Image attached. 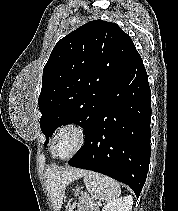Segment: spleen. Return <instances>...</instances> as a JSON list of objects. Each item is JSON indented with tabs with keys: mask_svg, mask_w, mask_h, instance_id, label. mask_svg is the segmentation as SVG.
<instances>
[{
	"mask_svg": "<svg viewBox=\"0 0 178 211\" xmlns=\"http://www.w3.org/2000/svg\"><path fill=\"white\" fill-rule=\"evenodd\" d=\"M84 183L94 199L112 201L120 196V185L114 179L103 174L85 171Z\"/></svg>",
	"mask_w": 178,
	"mask_h": 211,
	"instance_id": "1",
	"label": "spleen"
}]
</instances>
